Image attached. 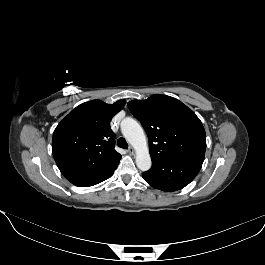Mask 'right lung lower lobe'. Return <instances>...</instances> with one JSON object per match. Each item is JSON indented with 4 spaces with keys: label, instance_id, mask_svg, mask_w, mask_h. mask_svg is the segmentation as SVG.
<instances>
[{
    "label": "right lung lower lobe",
    "instance_id": "obj_1",
    "mask_svg": "<svg viewBox=\"0 0 265 265\" xmlns=\"http://www.w3.org/2000/svg\"><path fill=\"white\" fill-rule=\"evenodd\" d=\"M119 162L108 168H82L63 171L62 174L72 184L79 187H88L98 184L109 178L117 168Z\"/></svg>",
    "mask_w": 265,
    "mask_h": 265
}]
</instances>
